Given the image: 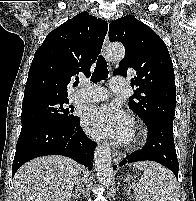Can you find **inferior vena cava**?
Segmentation results:
<instances>
[{"instance_id": "inferior-vena-cava-1", "label": "inferior vena cava", "mask_w": 196, "mask_h": 201, "mask_svg": "<svg viewBox=\"0 0 196 201\" xmlns=\"http://www.w3.org/2000/svg\"><path fill=\"white\" fill-rule=\"evenodd\" d=\"M76 183L79 185V184H80V180L77 179V180H76ZM77 188H78V190H79V192H80V190H81V189H80L81 186H80V187L77 186ZM76 190H77V189H76Z\"/></svg>"}]
</instances>
